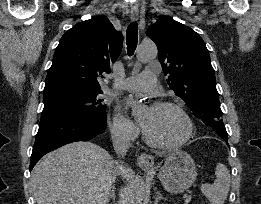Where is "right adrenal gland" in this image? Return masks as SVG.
<instances>
[{
  "label": "right adrenal gland",
  "instance_id": "1",
  "mask_svg": "<svg viewBox=\"0 0 261 204\" xmlns=\"http://www.w3.org/2000/svg\"><path fill=\"white\" fill-rule=\"evenodd\" d=\"M110 199L115 201V187H112V191H111L109 198H108V203H109Z\"/></svg>",
  "mask_w": 261,
  "mask_h": 204
}]
</instances>
